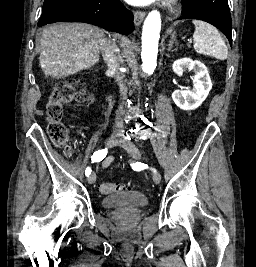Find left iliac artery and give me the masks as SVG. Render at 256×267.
Instances as JSON below:
<instances>
[{
    "instance_id": "obj_1",
    "label": "left iliac artery",
    "mask_w": 256,
    "mask_h": 267,
    "mask_svg": "<svg viewBox=\"0 0 256 267\" xmlns=\"http://www.w3.org/2000/svg\"><path fill=\"white\" fill-rule=\"evenodd\" d=\"M132 168L135 169V170H141V169H144V168H147L148 166L141 163V162H136V163H133L131 164ZM155 172V170H154Z\"/></svg>"
}]
</instances>
